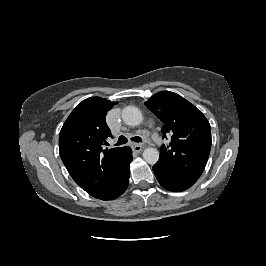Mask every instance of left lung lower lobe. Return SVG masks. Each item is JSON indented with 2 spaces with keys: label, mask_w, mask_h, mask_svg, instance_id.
Instances as JSON below:
<instances>
[{
  "label": "left lung lower lobe",
  "mask_w": 266,
  "mask_h": 266,
  "mask_svg": "<svg viewBox=\"0 0 266 266\" xmlns=\"http://www.w3.org/2000/svg\"><path fill=\"white\" fill-rule=\"evenodd\" d=\"M152 169L160 185L172 192L184 191L190 188L197 181L195 178H183L171 174L157 163L152 167Z\"/></svg>",
  "instance_id": "left-lung-lower-lobe-1"
}]
</instances>
